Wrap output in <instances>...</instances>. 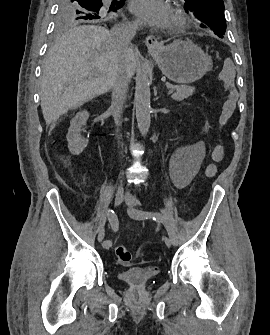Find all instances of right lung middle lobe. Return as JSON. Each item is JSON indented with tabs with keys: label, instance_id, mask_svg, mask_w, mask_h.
Returning a JSON list of instances; mask_svg holds the SVG:
<instances>
[{
	"label": "right lung middle lobe",
	"instance_id": "1",
	"mask_svg": "<svg viewBox=\"0 0 270 335\" xmlns=\"http://www.w3.org/2000/svg\"><path fill=\"white\" fill-rule=\"evenodd\" d=\"M125 0H113L110 8L101 0H60L57 13V25L60 29L87 23L95 20L105 23L111 20L109 12H116L124 5ZM108 10V11H107Z\"/></svg>",
	"mask_w": 270,
	"mask_h": 335
}]
</instances>
